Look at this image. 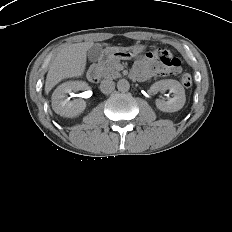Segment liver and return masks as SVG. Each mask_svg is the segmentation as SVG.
<instances>
[{
  "label": "liver",
  "instance_id": "obj_1",
  "mask_svg": "<svg viewBox=\"0 0 232 232\" xmlns=\"http://www.w3.org/2000/svg\"><path fill=\"white\" fill-rule=\"evenodd\" d=\"M104 45L107 46L106 48H109L108 44ZM92 46V42L70 44L64 46L58 52L47 73L45 82L46 94L63 79L80 77L84 74L87 51Z\"/></svg>",
  "mask_w": 232,
  "mask_h": 232
}]
</instances>
